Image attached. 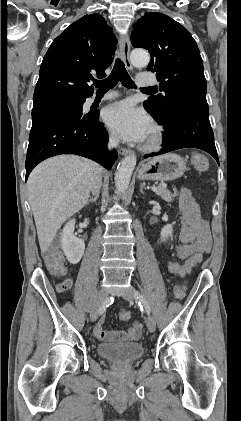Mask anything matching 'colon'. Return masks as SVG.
<instances>
[{
    "label": "colon",
    "instance_id": "colon-1",
    "mask_svg": "<svg viewBox=\"0 0 241 421\" xmlns=\"http://www.w3.org/2000/svg\"><path fill=\"white\" fill-rule=\"evenodd\" d=\"M191 162L193 166L200 172H205L209 167V162L206 156L201 153H193L191 156ZM44 261L49 272L55 276H63L65 274V264L61 252L54 247L47 249L44 254ZM203 259V255L195 254L183 263L168 262L166 268L170 274L177 276H184L188 274L193 268L198 266ZM62 284V283H61ZM60 284V285H61ZM186 294L185 285H176L174 288V295L176 298L181 299ZM131 317L130 312L127 309L119 311V318L123 321L129 320Z\"/></svg>",
    "mask_w": 241,
    "mask_h": 421
}]
</instances>
